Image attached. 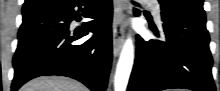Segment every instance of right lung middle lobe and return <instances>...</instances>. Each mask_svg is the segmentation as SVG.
Wrapping results in <instances>:
<instances>
[{
    "label": "right lung middle lobe",
    "instance_id": "dd1d6c3e",
    "mask_svg": "<svg viewBox=\"0 0 220 91\" xmlns=\"http://www.w3.org/2000/svg\"><path fill=\"white\" fill-rule=\"evenodd\" d=\"M36 4V1H30L29 3H28V6H32V5H35Z\"/></svg>",
    "mask_w": 220,
    "mask_h": 91
}]
</instances>
